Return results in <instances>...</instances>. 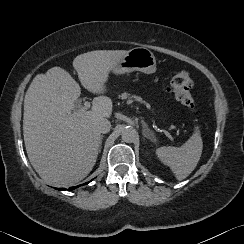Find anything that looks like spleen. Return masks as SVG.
<instances>
[{
    "label": "spleen",
    "mask_w": 244,
    "mask_h": 244,
    "mask_svg": "<svg viewBox=\"0 0 244 244\" xmlns=\"http://www.w3.org/2000/svg\"><path fill=\"white\" fill-rule=\"evenodd\" d=\"M202 148L200 128L195 125L193 134L181 147L163 146L157 148L155 153L162 163L171 168L177 180H183L197 166Z\"/></svg>",
    "instance_id": "3e777b00"
}]
</instances>
